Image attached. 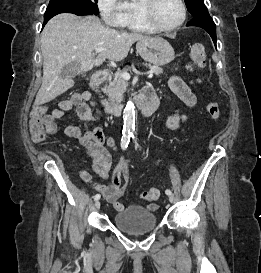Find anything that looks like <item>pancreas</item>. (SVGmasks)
Here are the masks:
<instances>
[{"label": "pancreas", "instance_id": "obj_1", "mask_svg": "<svg viewBox=\"0 0 261 273\" xmlns=\"http://www.w3.org/2000/svg\"><path fill=\"white\" fill-rule=\"evenodd\" d=\"M150 71L155 75L163 74V69L156 65H147ZM131 70L130 66L124 67L121 71L114 73L113 80H109V84L103 88L104 93L108 95V99L112 105L118 104L123 99V94L126 91L127 82L122 78L121 74Z\"/></svg>", "mask_w": 261, "mask_h": 273}]
</instances>
